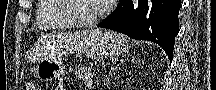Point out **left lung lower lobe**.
<instances>
[{"instance_id": "left-lung-lower-lobe-1", "label": "left lung lower lobe", "mask_w": 216, "mask_h": 90, "mask_svg": "<svg viewBox=\"0 0 216 90\" xmlns=\"http://www.w3.org/2000/svg\"><path fill=\"white\" fill-rule=\"evenodd\" d=\"M180 7L181 0H120L118 8L97 26L155 42L172 61Z\"/></svg>"}]
</instances>
